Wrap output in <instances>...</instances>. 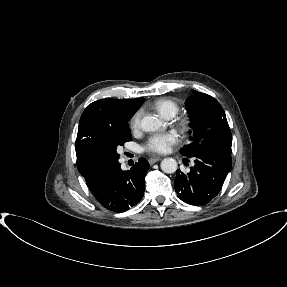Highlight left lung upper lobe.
Here are the masks:
<instances>
[{
  "instance_id": "left-lung-upper-lobe-1",
  "label": "left lung upper lobe",
  "mask_w": 287,
  "mask_h": 287,
  "mask_svg": "<svg viewBox=\"0 0 287 287\" xmlns=\"http://www.w3.org/2000/svg\"><path fill=\"white\" fill-rule=\"evenodd\" d=\"M187 100V109L192 124L190 143L180 153L186 157L213 148H231L232 136L222 106L215 98L192 90Z\"/></svg>"
}]
</instances>
